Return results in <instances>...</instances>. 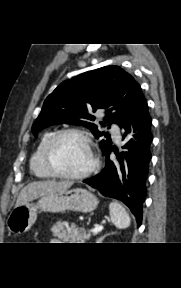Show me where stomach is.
I'll use <instances>...</instances> for the list:
<instances>
[{
    "label": "stomach",
    "instance_id": "obj_1",
    "mask_svg": "<svg viewBox=\"0 0 181 288\" xmlns=\"http://www.w3.org/2000/svg\"><path fill=\"white\" fill-rule=\"evenodd\" d=\"M97 205L96 196L82 188L48 193L37 203L27 202L15 207L8 216L7 226L10 231L20 234L28 231L35 223L38 209L52 213L66 210L88 213L95 210Z\"/></svg>",
    "mask_w": 181,
    "mask_h": 288
}]
</instances>
